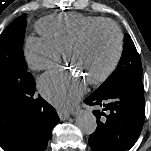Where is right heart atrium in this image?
Returning <instances> with one entry per match:
<instances>
[{
    "label": "right heart atrium",
    "instance_id": "obj_1",
    "mask_svg": "<svg viewBox=\"0 0 151 151\" xmlns=\"http://www.w3.org/2000/svg\"><path fill=\"white\" fill-rule=\"evenodd\" d=\"M29 67L36 71L53 67L61 58V51L42 37L30 36L24 48Z\"/></svg>",
    "mask_w": 151,
    "mask_h": 151
}]
</instances>
